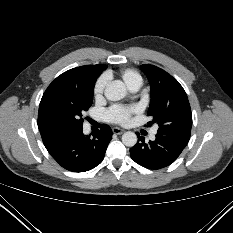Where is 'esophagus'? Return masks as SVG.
I'll list each match as a JSON object with an SVG mask.
<instances>
[{
    "mask_svg": "<svg viewBox=\"0 0 233 233\" xmlns=\"http://www.w3.org/2000/svg\"><path fill=\"white\" fill-rule=\"evenodd\" d=\"M112 131H113L114 134H122L124 132L123 129L118 128V127L112 128Z\"/></svg>",
    "mask_w": 233,
    "mask_h": 233,
    "instance_id": "obj_1",
    "label": "esophagus"
}]
</instances>
